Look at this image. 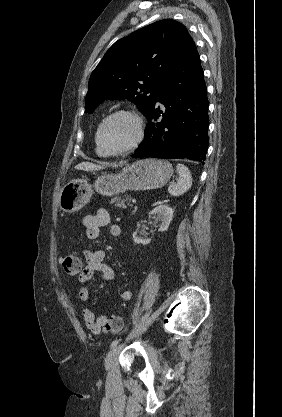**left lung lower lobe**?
Segmentation results:
<instances>
[{
    "label": "left lung lower lobe",
    "instance_id": "obj_1",
    "mask_svg": "<svg viewBox=\"0 0 282 417\" xmlns=\"http://www.w3.org/2000/svg\"><path fill=\"white\" fill-rule=\"evenodd\" d=\"M157 102L164 105L165 112L157 107ZM146 117L149 123L145 138L133 157L187 158L204 164L208 149V99L194 42L170 67Z\"/></svg>",
    "mask_w": 282,
    "mask_h": 417
}]
</instances>
